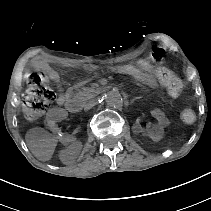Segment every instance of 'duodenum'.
Segmentation results:
<instances>
[{
    "mask_svg": "<svg viewBox=\"0 0 211 211\" xmlns=\"http://www.w3.org/2000/svg\"><path fill=\"white\" fill-rule=\"evenodd\" d=\"M104 89L105 88H103L102 90ZM65 106H66V109L71 113H77L81 110V103L75 99L67 100Z\"/></svg>",
    "mask_w": 211,
    "mask_h": 211,
    "instance_id": "duodenum-1",
    "label": "duodenum"
}]
</instances>
